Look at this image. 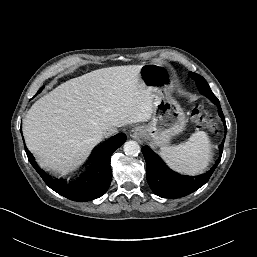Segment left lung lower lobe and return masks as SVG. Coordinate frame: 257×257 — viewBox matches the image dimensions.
<instances>
[{"label": "left lung lower lobe", "mask_w": 257, "mask_h": 257, "mask_svg": "<svg viewBox=\"0 0 257 257\" xmlns=\"http://www.w3.org/2000/svg\"><path fill=\"white\" fill-rule=\"evenodd\" d=\"M217 106L219 108L220 116L225 123L221 106ZM223 145L224 142L219 146L221 154L223 152ZM142 152L146 160L148 184L156 195L163 198H180L196 191L209 180L221 160L220 157L215 166L206 174L186 176L170 170L162 159L150 148L144 146Z\"/></svg>", "instance_id": "1"}]
</instances>
